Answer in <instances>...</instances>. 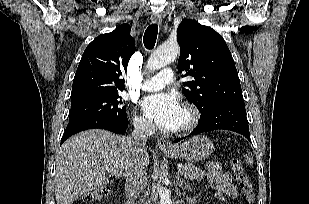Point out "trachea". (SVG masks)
Masks as SVG:
<instances>
[{
  "label": "trachea",
  "mask_w": 309,
  "mask_h": 204,
  "mask_svg": "<svg viewBox=\"0 0 309 204\" xmlns=\"http://www.w3.org/2000/svg\"><path fill=\"white\" fill-rule=\"evenodd\" d=\"M157 34V24L149 25L143 36V42L147 49H152L154 47L157 39Z\"/></svg>",
  "instance_id": "1"
}]
</instances>
